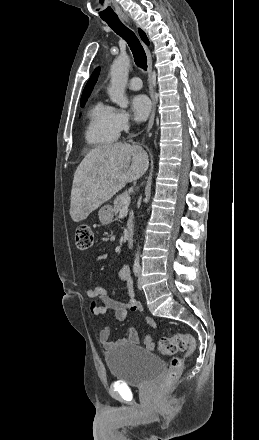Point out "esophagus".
<instances>
[{"mask_svg":"<svg viewBox=\"0 0 259 440\" xmlns=\"http://www.w3.org/2000/svg\"><path fill=\"white\" fill-rule=\"evenodd\" d=\"M121 18L125 20L126 22L129 21L128 17L126 15H121ZM145 51L147 55V66H148V81H149V93L152 100V111L149 118V122L147 125V132H149L154 124L155 119V112H156V96H155V90H154V84L152 80V57L150 50L147 46H145Z\"/></svg>","mask_w":259,"mask_h":440,"instance_id":"esophagus-1","label":"esophagus"}]
</instances>
